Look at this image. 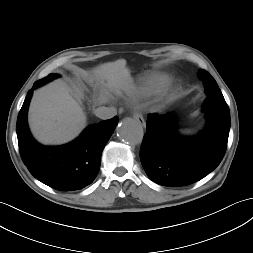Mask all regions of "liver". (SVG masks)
<instances>
[{
  "label": "liver",
  "instance_id": "liver-1",
  "mask_svg": "<svg viewBox=\"0 0 253 253\" xmlns=\"http://www.w3.org/2000/svg\"><path fill=\"white\" fill-rule=\"evenodd\" d=\"M89 81L98 80L109 90L120 88L130 76L126 60L100 65L92 74L80 70ZM28 121L34 137L43 144H63L79 135L86 126V116L72 89L55 81L34 93Z\"/></svg>",
  "mask_w": 253,
  "mask_h": 253
}]
</instances>
